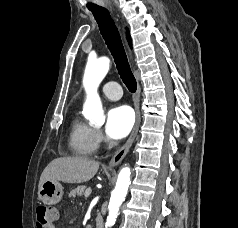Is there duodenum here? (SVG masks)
Segmentation results:
<instances>
[{"label":"duodenum","instance_id":"obj_1","mask_svg":"<svg viewBox=\"0 0 238 228\" xmlns=\"http://www.w3.org/2000/svg\"><path fill=\"white\" fill-rule=\"evenodd\" d=\"M94 228H103L104 227V223H103V219L100 215H97L95 218H94Z\"/></svg>","mask_w":238,"mask_h":228}]
</instances>
